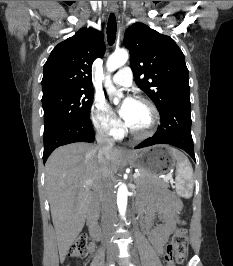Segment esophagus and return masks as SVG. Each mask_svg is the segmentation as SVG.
<instances>
[{"label":"esophagus","mask_w":233,"mask_h":266,"mask_svg":"<svg viewBox=\"0 0 233 266\" xmlns=\"http://www.w3.org/2000/svg\"><path fill=\"white\" fill-rule=\"evenodd\" d=\"M109 8H110L111 12L116 13L117 12L116 2L115 1H110ZM120 152L122 154H130V150L128 148H126V147H121L120 148Z\"/></svg>","instance_id":"esophagus-1"}]
</instances>
